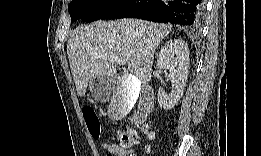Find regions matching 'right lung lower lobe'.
Listing matches in <instances>:
<instances>
[{
  "label": "right lung lower lobe",
  "instance_id": "right-lung-lower-lobe-1",
  "mask_svg": "<svg viewBox=\"0 0 261 156\" xmlns=\"http://www.w3.org/2000/svg\"><path fill=\"white\" fill-rule=\"evenodd\" d=\"M202 10L201 0H118L101 19L134 17L195 28L200 23Z\"/></svg>",
  "mask_w": 261,
  "mask_h": 156
}]
</instances>
